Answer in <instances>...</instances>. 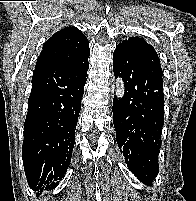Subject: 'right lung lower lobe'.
I'll list each match as a JSON object with an SVG mask.
<instances>
[{"label":"right lung lower lobe","instance_id":"obj_1","mask_svg":"<svg viewBox=\"0 0 196 201\" xmlns=\"http://www.w3.org/2000/svg\"><path fill=\"white\" fill-rule=\"evenodd\" d=\"M88 69L87 62L33 73L22 157L28 184L37 195L55 188L70 165Z\"/></svg>","mask_w":196,"mask_h":201}]
</instances>
